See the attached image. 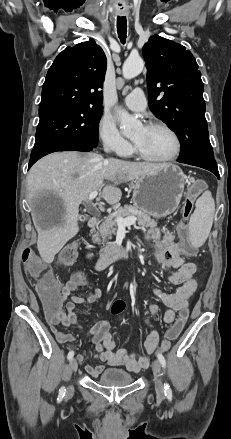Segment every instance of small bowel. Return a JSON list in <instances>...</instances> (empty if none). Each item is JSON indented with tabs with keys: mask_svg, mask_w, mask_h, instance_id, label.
<instances>
[{
	"mask_svg": "<svg viewBox=\"0 0 231 439\" xmlns=\"http://www.w3.org/2000/svg\"><path fill=\"white\" fill-rule=\"evenodd\" d=\"M147 237L156 243V259L158 262L165 268L175 269L168 277L169 282L177 286L173 293H165L158 288L154 289L155 296L167 308L163 314L164 321L171 323L175 321L179 306L189 308V303L198 289L197 267L194 263L183 262L178 258V251L183 250V247L174 241L173 236H161L158 230L151 229ZM84 280L85 275L75 274L60 286L61 300L58 308H56L59 318L57 320H48L52 332L60 343L71 342L75 337L72 334L61 332L58 325L75 326L82 329L74 312L75 306L94 303L102 296V291L99 288H93L83 296H74L73 292L84 283ZM144 288L148 290L150 287L146 285ZM147 308L151 315H158L160 312V308L156 304H149ZM147 325L149 333L144 342V353H131L123 348L115 350L113 333L108 321H99L86 330L85 332L92 336V342L96 350L95 357L103 363L96 366L87 365L85 367L86 372L92 377H97L104 370L105 365L123 367L133 372L147 368L150 364L148 355L157 348L159 343L158 331L149 324L148 320ZM169 347L170 341L165 339L160 346V351L164 352ZM79 359L82 360L83 356L80 355Z\"/></svg>",
	"mask_w": 231,
	"mask_h": 439,
	"instance_id": "c3829d8e",
	"label": "small bowel"
}]
</instances>
